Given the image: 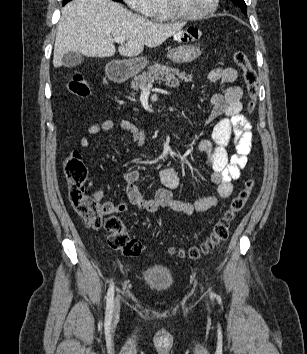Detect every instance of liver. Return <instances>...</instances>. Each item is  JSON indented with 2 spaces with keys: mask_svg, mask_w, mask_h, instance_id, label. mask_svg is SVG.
I'll use <instances>...</instances> for the list:
<instances>
[{
  "mask_svg": "<svg viewBox=\"0 0 307 354\" xmlns=\"http://www.w3.org/2000/svg\"><path fill=\"white\" fill-rule=\"evenodd\" d=\"M185 23L162 24L131 13L112 0H72L62 9L58 24L53 65L60 67L67 52L87 57H111L115 54L113 39L124 37L120 55L135 57L149 48L161 45L177 34Z\"/></svg>",
  "mask_w": 307,
  "mask_h": 354,
  "instance_id": "1",
  "label": "liver"
}]
</instances>
